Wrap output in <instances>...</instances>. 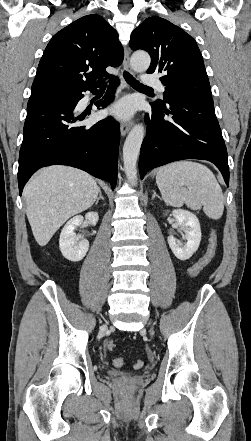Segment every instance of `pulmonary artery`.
Returning a JSON list of instances; mask_svg holds the SVG:
<instances>
[{"instance_id":"pulmonary-artery-1","label":"pulmonary artery","mask_w":251,"mask_h":441,"mask_svg":"<svg viewBox=\"0 0 251 441\" xmlns=\"http://www.w3.org/2000/svg\"><path fill=\"white\" fill-rule=\"evenodd\" d=\"M143 83L147 86L155 87L160 93L165 92L164 85L155 77L145 75L142 79Z\"/></svg>"}]
</instances>
